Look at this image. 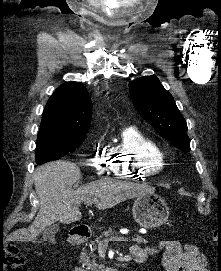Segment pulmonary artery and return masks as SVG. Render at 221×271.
<instances>
[{"label":"pulmonary artery","instance_id":"pulmonary-artery-1","mask_svg":"<svg viewBox=\"0 0 221 271\" xmlns=\"http://www.w3.org/2000/svg\"><path fill=\"white\" fill-rule=\"evenodd\" d=\"M127 133H122V138H140V133H136V128H127Z\"/></svg>","mask_w":221,"mask_h":271}]
</instances>
